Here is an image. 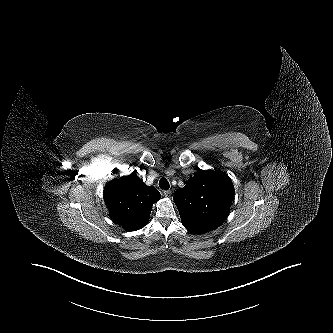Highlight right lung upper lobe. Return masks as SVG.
<instances>
[{
    "instance_id": "obj_1",
    "label": "right lung upper lobe",
    "mask_w": 333,
    "mask_h": 333,
    "mask_svg": "<svg viewBox=\"0 0 333 333\" xmlns=\"http://www.w3.org/2000/svg\"><path fill=\"white\" fill-rule=\"evenodd\" d=\"M103 196L110 218L127 231L145 226L152 205L160 199L159 191L145 185L134 172L108 182Z\"/></svg>"
}]
</instances>
